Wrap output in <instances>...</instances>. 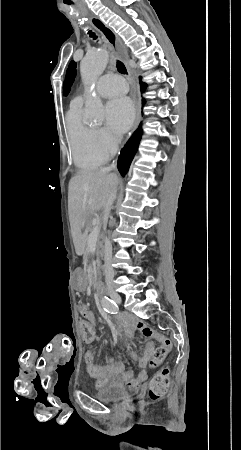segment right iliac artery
I'll return each instance as SVG.
<instances>
[{
    "mask_svg": "<svg viewBox=\"0 0 241 450\" xmlns=\"http://www.w3.org/2000/svg\"><path fill=\"white\" fill-rule=\"evenodd\" d=\"M102 306L106 312L111 314H116L118 311L117 304L106 296L102 299Z\"/></svg>",
    "mask_w": 241,
    "mask_h": 450,
    "instance_id": "obj_1",
    "label": "right iliac artery"
}]
</instances>
